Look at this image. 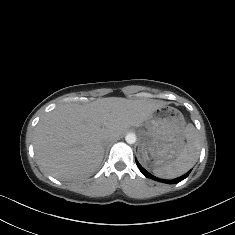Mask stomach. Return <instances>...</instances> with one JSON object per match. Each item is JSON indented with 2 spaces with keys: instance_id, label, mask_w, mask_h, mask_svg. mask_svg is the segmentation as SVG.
<instances>
[{
  "instance_id": "obj_1",
  "label": "stomach",
  "mask_w": 235,
  "mask_h": 235,
  "mask_svg": "<svg viewBox=\"0 0 235 235\" xmlns=\"http://www.w3.org/2000/svg\"><path fill=\"white\" fill-rule=\"evenodd\" d=\"M146 130L140 131V160L154 169L174 160L185 145L186 122L183 114L171 106L156 108L145 120Z\"/></svg>"
}]
</instances>
